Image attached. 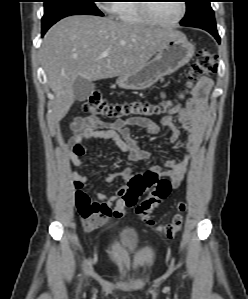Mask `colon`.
I'll return each mask as SVG.
<instances>
[{
	"mask_svg": "<svg viewBox=\"0 0 248 299\" xmlns=\"http://www.w3.org/2000/svg\"><path fill=\"white\" fill-rule=\"evenodd\" d=\"M217 70L216 56L207 49H200L186 77V85L192 86L202 77L213 75ZM171 105V102L153 104L150 102H125L113 103L107 101L99 93L90 94L83 105L84 112L97 117L110 119H126L131 117H152L159 115ZM172 190L171 182L161 178L156 172L147 170L144 173L134 174L125 185L121 200L127 208L134 207L138 198L146 191L149 195L142 200L136 209L141 220L150 227H155L167 238L174 237L180 232L184 225L185 203H179L177 213L169 223L156 225L150 218L152 211L165 200ZM76 209L78 215L89 217L94 214L90 205V197L77 191L75 195Z\"/></svg>",
	"mask_w": 248,
	"mask_h": 299,
	"instance_id": "5ec220e1",
	"label": "colon"
}]
</instances>
